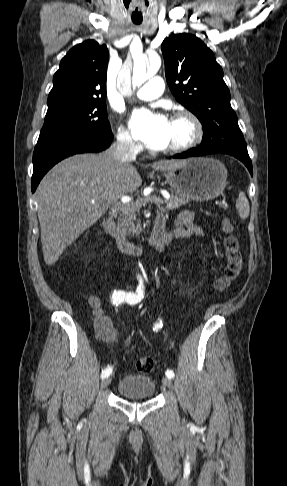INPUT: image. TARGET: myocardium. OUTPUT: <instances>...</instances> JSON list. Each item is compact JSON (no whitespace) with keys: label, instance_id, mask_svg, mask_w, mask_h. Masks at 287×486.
Returning <instances> with one entry per match:
<instances>
[{"label":"myocardium","instance_id":"1","mask_svg":"<svg viewBox=\"0 0 287 486\" xmlns=\"http://www.w3.org/2000/svg\"><path fill=\"white\" fill-rule=\"evenodd\" d=\"M172 120L186 121L190 126L191 134L185 142L167 147L165 152L183 153L196 147L202 141L204 135L203 126L194 113L188 110H180L173 115Z\"/></svg>","mask_w":287,"mask_h":486}]
</instances>
